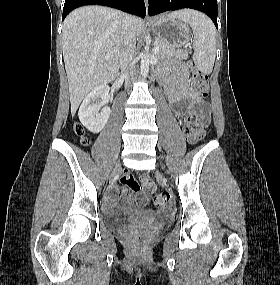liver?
<instances>
[{
  "label": "liver",
  "instance_id": "1",
  "mask_svg": "<svg viewBox=\"0 0 280 285\" xmlns=\"http://www.w3.org/2000/svg\"><path fill=\"white\" fill-rule=\"evenodd\" d=\"M125 16L114 9L85 6L72 11L64 20L62 48L72 116L91 90L117 76ZM133 20L138 37L142 21L137 17Z\"/></svg>",
  "mask_w": 280,
  "mask_h": 285
}]
</instances>
